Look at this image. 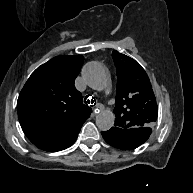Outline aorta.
<instances>
[{
    "mask_svg": "<svg viewBox=\"0 0 193 193\" xmlns=\"http://www.w3.org/2000/svg\"><path fill=\"white\" fill-rule=\"evenodd\" d=\"M82 76L88 86L94 90H102L106 86L107 78L104 68L98 62L87 63L83 70ZM115 115L110 110L101 111L96 117V125L101 131H107L113 127Z\"/></svg>",
    "mask_w": 193,
    "mask_h": 193,
    "instance_id": "obj_1",
    "label": "aorta"
}]
</instances>
